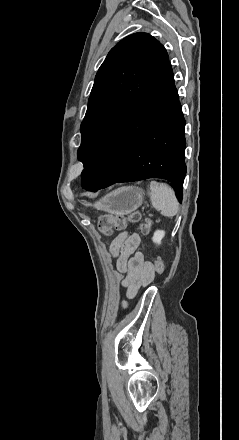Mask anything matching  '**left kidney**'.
<instances>
[{"mask_svg":"<svg viewBox=\"0 0 239 440\" xmlns=\"http://www.w3.org/2000/svg\"><path fill=\"white\" fill-rule=\"evenodd\" d=\"M164 236L165 232H163V230H156V232H154L152 242H154V244H161V240H163Z\"/></svg>","mask_w":239,"mask_h":440,"instance_id":"obj_1","label":"left kidney"}]
</instances>
